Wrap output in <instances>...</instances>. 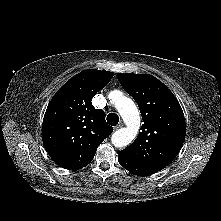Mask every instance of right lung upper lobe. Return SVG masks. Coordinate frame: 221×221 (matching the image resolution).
<instances>
[{
	"instance_id": "right-lung-upper-lobe-1",
	"label": "right lung upper lobe",
	"mask_w": 221,
	"mask_h": 221,
	"mask_svg": "<svg viewBox=\"0 0 221 221\" xmlns=\"http://www.w3.org/2000/svg\"><path fill=\"white\" fill-rule=\"evenodd\" d=\"M109 71L88 69L66 82L46 109L43 144L52 160L64 169L77 170L88 165L97 147L113 128L104 111L92 106V98L113 77Z\"/></svg>"
}]
</instances>
